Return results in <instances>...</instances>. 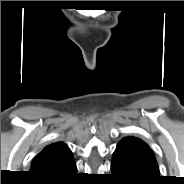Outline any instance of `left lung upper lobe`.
I'll return each instance as SVG.
<instances>
[{"label":"left lung upper lobe","instance_id":"obj_1","mask_svg":"<svg viewBox=\"0 0 184 184\" xmlns=\"http://www.w3.org/2000/svg\"><path fill=\"white\" fill-rule=\"evenodd\" d=\"M127 140L134 142L135 144L139 145L141 148L146 149L149 153L154 155L151 149L149 148V146L145 142H143L141 139L135 138V137H125L121 141H127Z\"/></svg>","mask_w":184,"mask_h":184}]
</instances>
